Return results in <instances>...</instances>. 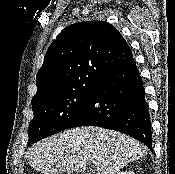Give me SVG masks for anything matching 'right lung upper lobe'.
Masks as SVG:
<instances>
[{"mask_svg": "<svg viewBox=\"0 0 175 174\" xmlns=\"http://www.w3.org/2000/svg\"><path fill=\"white\" fill-rule=\"evenodd\" d=\"M133 59L128 43L111 24L80 22L65 28L51 44L37 73L31 104L87 85Z\"/></svg>", "mask_w": 175, "mask_h": 174, "instance_id": "obj_1", "label": "right lung upper lobe"}]
</instances>
